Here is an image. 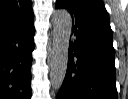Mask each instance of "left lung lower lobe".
Masks as SVG:
<instances>
[{
	"label": "left lung lower lobe",
	"mask_w": 128,
	"mask_h": 99,
	"mask_svg": "<svg viewBox=\"0 0 128 99\" xmlns=\"http://www.w3.org/2000/svg\"><path fill=\"white\" fill-rule=\"evenodd\" d=\"M56 8L67 9L58 2ZM70 14L75 40L69 43L67 72L57 99H118L110 22Z\"/></svg>",
	"instance_id": "1"
}]
</instances>
